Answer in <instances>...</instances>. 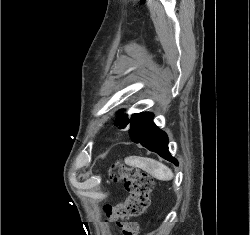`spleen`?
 Listing matches in <instances>:
<instances>
[{"label": "spleen", "mask_w": 250, "mask_h": 235, "mask_svg": "<svg viewBox=\"0 0 250 235\" xmlns=\"http://www.w3.org/2000/svg\"><path fill=\"white\" fill-rule=\"evenodd\" d=\"M125 163L141 168L158 180L169 181L173 178V172L170 168L151 158L133 156L126 158Z\"/></svg>", "instance_id": "3e777b00"}]
</instances>
